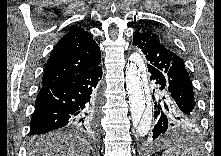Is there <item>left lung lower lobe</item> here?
<instances>
[{"label": "left lung lower lobe", "mask_w": 221, "mask_h": 156, "mask_svg": "<svg viewBox=\"0 0 221 156\" xmlns=\"http://www.w3.org/2000/svg\"><path fill=\"white\" fill-rule=\"evenodd\" d=\"M152 81V97L154 104L153 129L150 140L158 141L169 134L193 129L198 121V116L180 108L169 90V78L158 69L149 68Z\"/></svg>", "instance_id": "1"}]
</instances>
